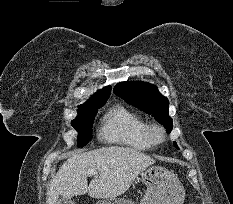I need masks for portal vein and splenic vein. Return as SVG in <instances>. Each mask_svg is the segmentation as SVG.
Returning <instances> with one entry per match:
<instances>
[{
  "mask_svg": "<svg viewBox=\"0 0 233 204\" xmlns=\"http://www.w3.org/2000/svg\"><path fill=\"white\" fill-rule=\"evenodd\" d=\"M87 174L89 175V176H92V175H97V171L95 170V169H90L88 172H87Z\"/></svg>",
  "mask_w": 233,
  "mask_h": 204,
  "instance_id": "portal-vein-and-splenic-vein-1",
  "label": "portal vein and splenic vein"
}]
</instances>
